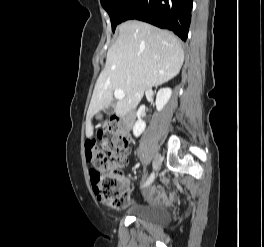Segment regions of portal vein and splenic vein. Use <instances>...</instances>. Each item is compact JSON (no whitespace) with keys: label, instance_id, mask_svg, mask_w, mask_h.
I'll return each instance as SVG.
<instances>
[{"label":"portal vein and splenic vein","instance_id":"obj_1","mask_svg":"<svg viewBox=\"0 0 264 247\" xmlns=\"http://www.w3.org/2000/svg\"><path fill=\"white\" fill-rule=\"evenodd\" d=\"M114 96L116 99H123L125 98L126 95L122 89H115Z\"/></svg>","mask_w":264,"mask_h":247}]
</instances>
